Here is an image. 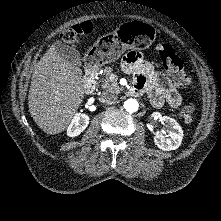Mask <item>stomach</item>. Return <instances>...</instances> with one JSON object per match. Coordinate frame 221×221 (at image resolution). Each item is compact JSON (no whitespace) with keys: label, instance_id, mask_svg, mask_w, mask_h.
Listing matches in <instances>:
<instances>
[{"label":"stomach","instance_id":"stomach-1","mask_svg":"<svg viewBox=\"0 0 221 221\" xmlns=\"http://www.w3.org/2000/svg\"><path fill=\"white\" fill-rule=\"evenodd\" d=\"M156 37L153 25L145 20L118 27L114 33L100 37L86 53V60L102 66L114 62L125 49L134 46L149 47Z\"/></svg>","mask_w":221,"mask_h":221}]
</instances>
